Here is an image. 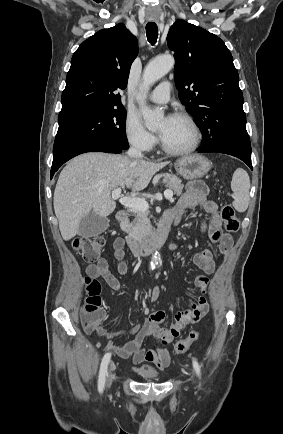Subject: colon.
I'll list each match as a JSON object with an SVG mask.
<instances>
[{"mask_svg":"<svg viewBox=\"0 0 283 434\" xmlns=\"http://www.w3.org/2000/svg\"><path fill=\"white\" fill-rule=\"evenodd\" d=\"M220 217L224 222V227L228 232H237L239 220L234 208L230 204L222 206ZM105 238L101 235L80 237L74 243L76 251L84 261L93 263L98 260L105 246ZM87 297L81 314L82 325L88 331H95L100 327L105 314L101 308V284L96 278L86 277L85 279ZM199 338L197 330L191 331L188 336L176 342L174 351L177 354L186 352L189 347Z\"/></svg>","mask_w":283,"mask_h":434,"instance_id":"obj_1","label":"colon"}]
</instances>
